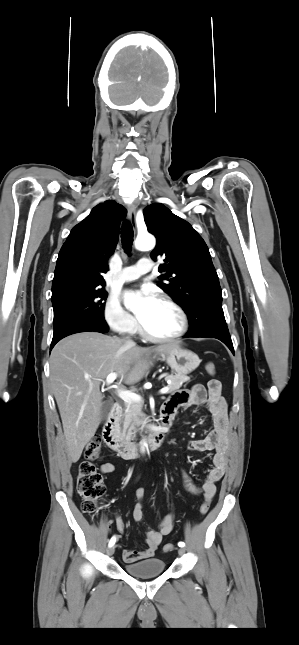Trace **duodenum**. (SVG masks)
Here are the masks:
<instances>
[{"label":"duodenum","instance_id":"obj_1","mask_svg":"<svg viewBox=\"0 0 299 645\" xmlns=\"http://www.w3.org/2000/svg\"><path fill=\"white\" fill-rule=\"evenodd\" d=\"M122 412L119 404H114L103 427V440L106 445L123 459H133L144 451L155 450L161 447L165 439L167 426L171 419L161 412V425L147 437L144 443L137 444L124 439L118 429V422Z\"/></svg>","mask_w":299,"mask_h":645}]
</instances>
